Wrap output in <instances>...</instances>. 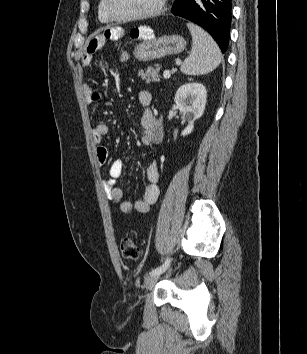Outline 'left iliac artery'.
I'll return each mask as SVG.
<instances>
[{"label": "left iliac artery", "instance_id": "left-iliac-artery-1", "mask_svg": "<svg viewBox=\"0 0 307 354\" xmlns=\"http://www.w3.org/2000/svg\"><path fill=\"white\" fill-rule=\"evenodd\" d=\"M170 263H171V260L169 258H167L161 266L153 269L149 274L153 275V274H161V273L165 272L168 269V267L170 266Z\"/></svg>", "mask_w": 307, "mask_h": 354}]
</instances>
